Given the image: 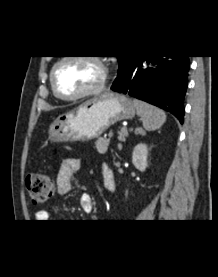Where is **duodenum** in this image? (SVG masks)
Here are the masks:
<instances>
[{
    "label": "duodenum",
    "instance_id": "obj_1",
    "mask_svg": "<svg viewBox=\"0 0 218 277\" xmlns=\"http://www.w3.org/2000/svg\"><path fill=\"white\" fill-rule=\"evenodd\" d=\"M102 172H103L106 184H113L112 188H109V190H113L114 189V179H113V176L109 173V169L107 167H103Z\"/></svg>",
    "mask_w": 218,
    "mask_h": 277
}]
</instances>
